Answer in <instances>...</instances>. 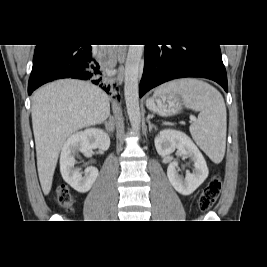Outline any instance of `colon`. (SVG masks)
I'll return each instance as SVG.
<instances>
[{"label":"colon","mask_w":267,"mask_h":267,"mask_svg":"<svg viewBox=\"0 0 267 267\" xmlns=\"http://www.w3.org/2000/svg\"><path fill=\"white\" fill-rule=\"evenodd\" d=\"M221 187V177L214 174L199 196L198 206L201 211L206 212L213 207L220 195ZM55 200L58 206L66 210H71L74 204V198L65 185L57 189Z\"/></svg>","instance_id":"1"}]
</instances>
